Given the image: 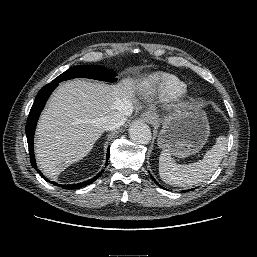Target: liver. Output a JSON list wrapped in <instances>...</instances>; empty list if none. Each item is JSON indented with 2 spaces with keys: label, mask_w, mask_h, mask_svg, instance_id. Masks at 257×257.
Wrapping results in <instances>:
<instances>
[{
  "label": "liver",
  "mask_w": 257,
  "mask_h": 257,
  "mask_svg": "<svg viewBox=\"0 0 257 257\" xmlns=\"http://www.w3.org/2000/svg\"><path fill=\"white\" fill-rule=\"evenodd\" d=\"M142 84L133 78L116 85L74 79L50 98L37 126L35 154L40 169L55 179L85 157L103 134L101 118L123 106H134Z\"/></svg>",
  "instance_id": "1"
}]
</instances>
